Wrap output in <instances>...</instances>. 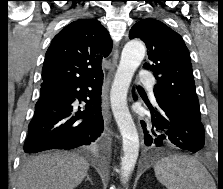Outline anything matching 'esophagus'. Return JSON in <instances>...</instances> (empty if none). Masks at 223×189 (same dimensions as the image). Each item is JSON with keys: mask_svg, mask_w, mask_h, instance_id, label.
<instances>
[{"mask_svg": "<svg viewBox=\"0 0 223 189\" xmlns=\"http://www.w3.org/2000/svg\"><path fill=\"white\" fill-rule=\"evenodd\" d=\"M118 58H119V53L118 51H115L114 54H113V58H112V65L110 67V70L108 72V75H107V85L109 86L110 82H111V79H112V76H113V73L115 71V68L117 66V63H118ZM108 90V89H107ZM107 98H106V101H105V108L103 110V114H104V117L109 120L110 119V114H109V110H108V107H107Z\"/></svg>", "mask_w": 223, "mask_h": 189, "instance_id": "obj_1", "label": "esophagus"}]
</instances>
